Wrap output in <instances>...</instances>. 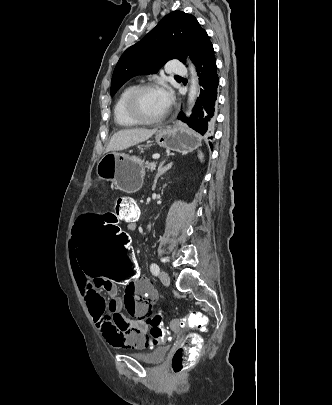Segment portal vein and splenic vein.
I'll list each match as a JSON object with an SVG mask.
<instances>
[{
    "label": "portal vein and splenic vein",
    "mask_w": 332,
    "mask_h": 405,
    "mask_svg": "<svg viewBox=\"0 0 332 405\" xmlns=\"http://www.w3.org/2000/svg\"><path fill=\"white\" fill-rule=\"evenodd\" d=\"M159 157H160V155H158V154L153 155V159H158ZM155 165H156V163L154 164V167H155Z\"/></svg>",
    "instance_id": "portal-vein-and-splenic-vein-1"
}]
</instances>
